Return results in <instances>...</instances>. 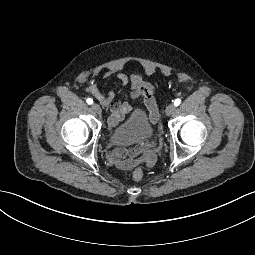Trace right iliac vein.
Instances as JSON below:
<instances>
[{"mask_svg":"<svg viewBox=\"0 0 255 255\" xmlns=\"http://www.w3.org/2000/svg\"><path fill=\"white\" fill-rule=\"evenodd\" d=\"M91 108H92V110H93L95 113H97V114H99V115H100L101 112H102L101 107H100L98 104H96V103L92 104Z\"/></svg>","mask_w":255,"mask_h":255,"instance_id":"right-iliac-vein-1","label":"right iliac vein"}]
</instances>
